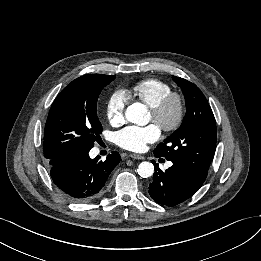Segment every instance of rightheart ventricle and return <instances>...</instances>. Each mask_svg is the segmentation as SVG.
I'll return each instance as SVG.
<instances>
[{
    "label": "right heart ventricle",
    "instance_id": "obj_1",
    "mask_svg": "<svg viewBox=\"0 0 261 261\" xmlns=\"http://www.w3.org/2000/svg\"><path fill=\"white\" fill-rule=\"evenodd\" d=\"M170 92L172 90L168 83L151 78L136 83L127 94L153 108Z\"/></svg>",
    "mask_w": 261,
    "mask_h": 261
}]
</instances>
